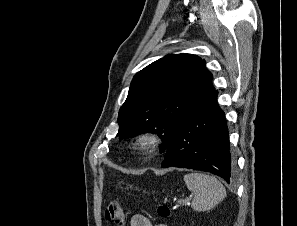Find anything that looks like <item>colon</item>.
<instances>
[{"instance_id":"1","label":"colon","mask_w":297,"mask_h":226,"mask_svg":"<svg viewBox=\"0 0 297 226\" xmlns=\"http://www.w3.org/2000/svg\"><path fill=\"white\" fill-rule=\"evenodd\" d=\"M158 214L161 217H167L170 214V209L166 205H160L158 207ZM105 218L108 222L115 223L118 226L124 224V212L123 207L118 202H111L105 210Z\"/></svg>"}]
</instances>
